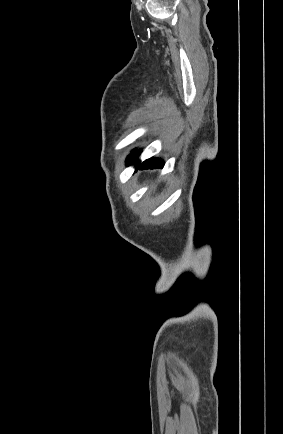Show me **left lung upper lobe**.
Returning a JSON list of instances; mask_svg holds the SVG:
<instances>
[{
    "instance_id": "1",
    "label": "left lung upper lobe",
    "mask_w": 283,
    "mask_h": 434,
    "mask_svg": "<svg viewBox=\"0 0 283 434\" xmlns=\"http://www.w3.org/2000/svg\"><path fill=\"white\" fill-rule=\"evenodd\" d=\"M140 154V151L134 150L133 153H131L127 159V162H130L132 160H135L136 157H138Z\"/></svg>"
}]
</instances>
